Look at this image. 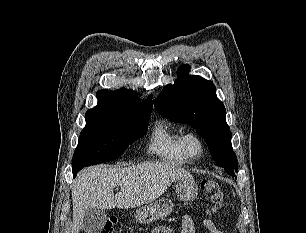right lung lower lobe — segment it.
Returning <instances> with one entry per match:
<instances>
[{
    "label": "right lung lower lobe",
    "mask_w": 306,
    "mask_h": 233,
    "mask_svg": "<svg viewBox=\"0 0 306 233\" xmlns=\"http://www.w3.org/2000/svg\"><path fill=\"white\" fill-rule=\"evenodd\" d=\"M78 173V172H77ZM77 173H73V176L75 177Z\"/></svg>",
    "instance_id": "1"
}]
</instances>
